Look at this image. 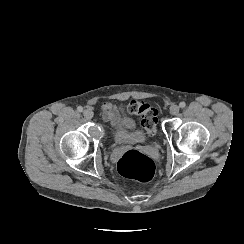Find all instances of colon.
Segmentation results:
<instances>
[{"mask_svg":"<svg viewBox=\"0 0 244 244\" xmlns=\"http://www.w3.org/2000/svg\"><path fill=\"white\" fill-rule=\"evenodd\" d=\"M132 115L141 117V125L146 135L150 138L157 134V111L149 108L146 102H132L127 108ZM118 170L123 177L149 182L155 174L154 161L137 151L131 150L124 153L118 163Z\"/></svg>","mask_w":244,"mask_h":244,"instance_id":"obj_1","label":"colon"}]
</instances>
